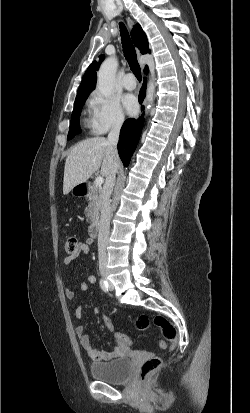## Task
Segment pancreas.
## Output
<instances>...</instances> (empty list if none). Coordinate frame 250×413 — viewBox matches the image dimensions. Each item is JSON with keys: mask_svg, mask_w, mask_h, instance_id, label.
Wrapping results in <instances>:
<instances>
[{"mask_svg": "<svg viewBox=\"0 0 250 413\" xmlns=\"http://www.w3.org/2000/svg\"><path fill=\"white\" fill-rule=\"evenodd\" d=\"M89 204L85 209L87 221L94 225L98 222L99 212L102 204V191L96 186L92 185L89 191Z\"/></svg>", "mask_w": 250, "mask_h": 413, "instance_id": "pancreas-1", "label": "pancreas"}]
</instances>
